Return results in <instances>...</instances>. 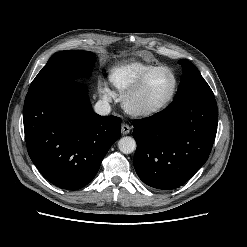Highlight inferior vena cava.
Here are the masks:
<instances>
[{"label":"inferior vena cava","mask_w":247,"mask_h":247,"mask_svg":"<svg viewBox=\"0 0 247 247\" xmlns=\"http://www.w3.org/2000/svg\"><path fill=\"white\" fill-rule=\"evenodd\" d=\"M94 111L101 116H106L110 113L111 107L107 101L99 100L94 106Z\"/></svg>","instance_id":"1"}]
</instances>
